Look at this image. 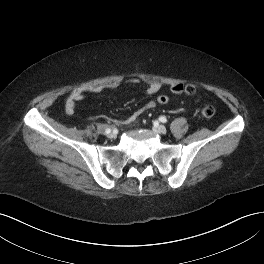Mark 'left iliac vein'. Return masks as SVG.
<instances>
[{
	"mask_svg": "<svg viewBox=\"0 0 264 264\" xmlns=\"http://www.w3.org/2000/svg\"><path fill=\"white\" fill-rule=\"evenodd\" d=\"M155 130H156L157 132L161 133V134H165L166 131H167V129H166V127H165L164 125H157V126L155 127Z\"/></svg>",
	"mask_w": 264,
	"mask_h": 264,
	"instance_id": "4c4485c4",
	"label": "left iliac vein"
}]
</instances>
